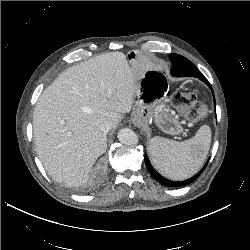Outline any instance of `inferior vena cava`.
Returning <instances> with one entry per match:
<instances>
[{"instance_id":"inferior-vena-cava-1","label":"inferior vena cava","mask_w":250,"mask_h":250,"mask_svg":"<svg viewBox=\"0 0 250 250\" xmlns=\"http://www.w3.org/2000/svg\"><path fill=\"white\" fill-rule=\"evenodd\" d=\"M99 128L102 132L107 133L111 130V124L109 122L105 121L99 125Z\"/></svg>"}]
</instances>
